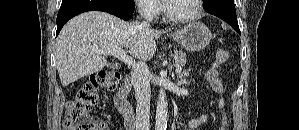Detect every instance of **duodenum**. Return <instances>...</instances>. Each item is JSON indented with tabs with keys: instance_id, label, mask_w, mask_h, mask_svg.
<instances>
[{
	"instance_id": "1",
	"label": "duodenum",
	"mask_w": 299,
	"mask_h": 130,
	"mask_svg": "<svg viewBox=\"0 0 299 130\" xmlns=\"http://www.w3.org/2000/svg\"><path fill=\"white\" fill-rule=\"evenodd\" d=\"M131 87L132 85L130 77L127 76L123 85L115 96L114 103L119 113L124 117L127 129L135 130L136 120L134 111L128 99Z\"/></svg>"
}]
</instances>
